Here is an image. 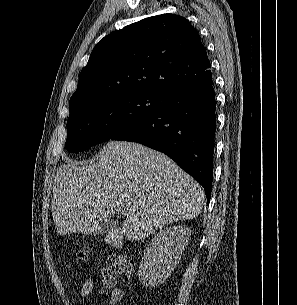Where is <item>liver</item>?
I'll return each mask as SVG.
<instances>
[{
	"label": "liver",
	"instance_id": "6515ba94",
	"mask_svg": "<svg viewBox=\"0 0 297 305\" xmlns=\"http://www.w3.org/2000/svg\"><path fill=\"white\" fill-rule=\"evenodd\" d=\"M98 158L57 170L51 210L58 234L92 233L120 207L125 220L105 242L122 248L124 236L143 241L158 228L201 213V186L168 156L141 144L110 141Z\"/></svg>",
	"mask_w": 297,
	"mask_h": 305
}]
</instances>
